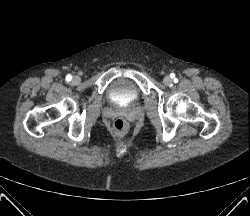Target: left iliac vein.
<instances>
[{
    "label": "left iliac vein",
    "instance_id": "obj_1",
    "mask_svg": "<svg viewBox=\"0 0 250 216\" xmlns=\"http://www.w3.org/2000/svg\"><path fill=\"white\" fill-rule=\"evenodd\" d=\"M163 83H164L165 85H170V84L172 83L171 77L165 76L164 79H163Z\"/></svg>",
    "mask_w": 250,
    "mask_h": 216
}]
</instances>
